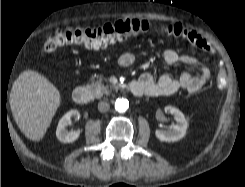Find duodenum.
I'll return each mask as SVG.
<instances>
[{"label":"duodenum","mask_w":245,"mask_h":187,"mask_svg":"<svg viewBox=\"0 0 245 187\" xmlns=\"http://www.w3.org/2000/svg\"><path fill=\"white\" fill-rule=\"evenodd\" d=\"M135 97H141L144 94L143 86L137 81H129L125 86ZM99 96V89L97 87L78 86L73 91V100L77 104H87Z\"/></svg>","instance_id":"1"}]
</instances>
